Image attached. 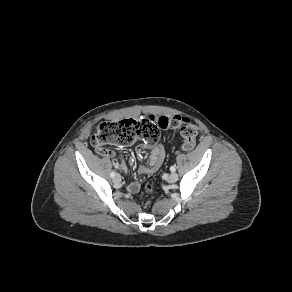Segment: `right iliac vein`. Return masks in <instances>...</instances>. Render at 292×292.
<instances>
[{
	"mask_svg": "<svg viewBox=\"0 0 292 292\" xmlns=\"http://www.w3.org/2000/svg\"><path fill=\"white\" fill-rule=\"evenodd\" d=\"M113 181H114V183H115L117 186H120V185H121V181H122L121 176L117 174V175L114 177Z\"/></svg>",
	"mask_w": 292,
	"mask_h": 292,
	"instance_id": "1",
	"label": "right iliac vein"
}]
</instances>
